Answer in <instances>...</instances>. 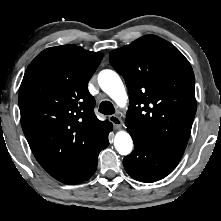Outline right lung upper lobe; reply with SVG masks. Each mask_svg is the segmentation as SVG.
Here are the masks:
<instances>
[{
    "label": "right lung upper lobe",
    "instance_id": "cb5924a9",
    "mask_svg": "<svg viewBox=\"0 0 221 221\" xmlns=\"http://www.w3.org/2000/svg\"><path fill=\"white\" fill-rule=\"evenodd\" d=\"M103 54L75 45L42 51L19 90L21 125L41 166L57 177L78 163L103 136L108 121L94 113L88 82Z\"/></svg>",
    "mask_w": 221,
    "mask_h": 221
}]
</instances>
